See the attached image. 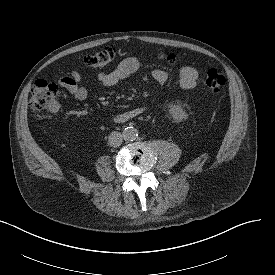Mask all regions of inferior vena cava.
I'll list each match as a JSON object with an SVG mask.
<instances>
[{
	"mask_svg": "<svg viewBox=\"0 0 275 275\" xmlns=\"http://www.w3.org/2000/svg\"><path fill=\"white\" fill-rule=\"evenodd\" d=\"M123 135L119 132H112L108 138V144L111 147H118L122 144Z\"/></svg>",
	"mask_w": 275,
	"mask_h": 275,
	"instance_id": "602c4592",
	"label": "inferior vena cava"
}]
</instances>
